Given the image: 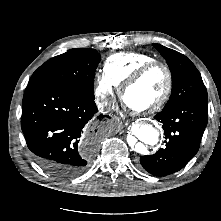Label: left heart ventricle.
Listing matches in <instances>:
<instances>
[{"mask_svg":"<svg viewBox=\"0 0 221 221\" xmlns=\"http://www.w3.org/2000/svg\"><path fill=\"white\" fill-rule=\"evenodd\" d=\"M166 83V74L162 68L151 70L127 90L125 95L127 104L137 109L152 105L162 96Z\"/></svg>","mask_w":221,"mask_h":221,"instance_id":"obj_1","label":"left heart ventricle"}]
</instances>
